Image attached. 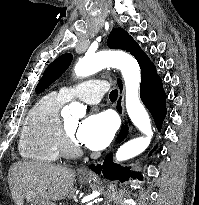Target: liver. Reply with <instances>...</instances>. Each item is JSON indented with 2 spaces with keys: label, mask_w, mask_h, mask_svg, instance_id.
I'll return each mask as SVG.
<instances>
[{
  "label": "liver",
  "mask_w": 199,
  "mask_h": 205,
  "mask_svg": "<svg viewBox=\"0 0 199 205\" xmlns=\"http://www.w3.org/2000/svg\"><path fill=\"white\" fill-rule=\"evenodd\" d=\"M75 172L43 162L20 161L11 165L8 183L16 205H23L28 192L49 201L73 198Z\"/></svg>",
  "instance_id": "6515ba94"
}]
</instances>
